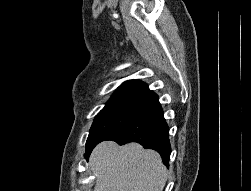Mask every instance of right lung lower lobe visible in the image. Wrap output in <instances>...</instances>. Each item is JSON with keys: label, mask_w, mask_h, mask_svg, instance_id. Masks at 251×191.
<instances>
[{"label": "right lung lower lobe", "mask_w": 251, "mask_h": 191, "mask_svg": "<svg viewBox=\"0 0 251 191\" xmlns=\"http://www.w3.org/2000/svg\"><path fill=\"white\" fill-rule=\"evenodd\" d=\"M107 140L120 145L137 142L146 149L157 151L163 163L169 165L171 153L169 128L158 100Z\"/></svg>", "instance_id": "obj_1"}]
</instances>
